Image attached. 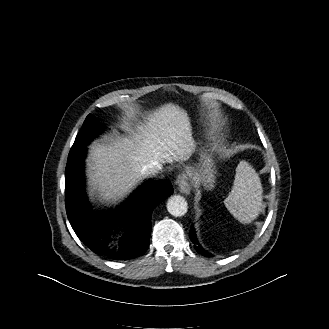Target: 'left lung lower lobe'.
Wrapping results in <instances>:
<instances>
[{
  "label": "left lung lower lobe",
  "instance_id": "1",
  "mask_svg": "<svg viewBox=\"0 0 329 329\" xmlns=\"http://www.w3.org/2000/svg\"><path fill=\"white\" fill-rule=\"evenodd\" d=\"M190 239L191 241L196 244L195 249L198 253L202 254L203 256L209 257L211 256L208 252H206L205 250H203V248L199 245V243L197 242L196 236H195V231L192 228L190 231Z\"/></svg>",
  "mask_w": 329,
  "mask_h": 329
}]
</instances>
